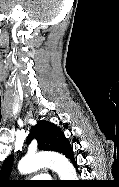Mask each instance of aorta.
<instances>
[{
	"label": "aorta",
	"mask_w": 119,
	"mask_h": 187,
	"mask_svg": "<svg viewBox=\"0 0 119 187\" xmlns=\"http://www.w3.org/2000/svg\"><path fill=\"white\" fill-rule=\"evenodd\" d=\"M46 166L53 168L61 180H77L76 171L69 160L54 152L27 155L20 160L18 170L22 174H27Z\"/></svg>",
	"instance_id": "aorta-1"
}]
</instances>
